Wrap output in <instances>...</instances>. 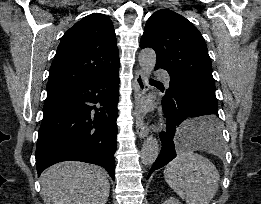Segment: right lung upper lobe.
<instances>
[{"label":"right lung upper lobe","instance_id":"obj_1","mask_svg":"<svg viewBox=\"0 0 261 204\" xmlns=\"http://www.w3.org/2000/svg\"><path fill=\"white\" fill-rule=\"evenodd\" d=\"M118 67L111 20L104 14H90L63 35L50 67L47 91L100 77Z\"/></svg>","mask_w":261,"mask_h":204}]
</instances>
